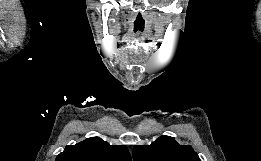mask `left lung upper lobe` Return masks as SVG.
Masks as SVG:
<instances>
[{"mask_svg":"<svg viewBox=\"0 0 261 161\" xmlns=\"http://www.w3.org/2000/svg\"><path fill=\"white\" fill-rule=\"evenodd\" d=\"M134 161H201L189 145H180L174 138L161 136L150 145H135Z\"/></svg>","mask_w":261,"mask_h":161,"instance_id":"obj_1","label":"left lung upper lobe"}]
</instances>
